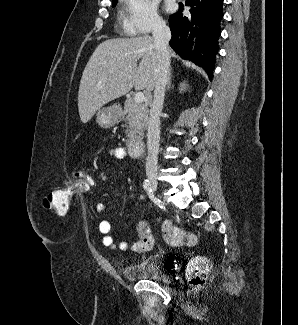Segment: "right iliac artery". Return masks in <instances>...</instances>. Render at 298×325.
<instances>
[{"mask_svg":"<svg viewBox=\"0 0 298 325\" xmlns=\"http://www.w3.org/2000/svg\"><path fill=\"white\" fill-rule=\"evenodd\" d=\"M143 188H144V190H146L149 193L152 192L151 185H150V181L148 179H146L144 181Z\"/></svg>","mask_w":298,"mask_h":325,"instance_id":"82829eb1","label":"right iliac artery"}]
</instances>
